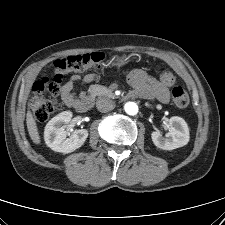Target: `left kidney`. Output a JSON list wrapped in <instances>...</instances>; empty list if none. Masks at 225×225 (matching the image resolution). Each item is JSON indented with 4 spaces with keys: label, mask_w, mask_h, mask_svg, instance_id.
Returning <instances> with one entry per match:
<instances>
[{
    "label": "left kidney",
    "mask_w": 225,
    "mask_h": 225,
    "mask_svg": "<svg viewBox=\"0 0 225 225\" xmlns=\"http://www.w3.org/2000/svg\"><path fill=\"white\" fill-rule=\"evenodd\" d=\"M170 130L165 137L160 131L151 134L154 145L163 150H173L185 146L189 142V128L185 120L174 116L169 119Z\"/></svg>",
    "instance_id": "1"
}]
</instances>
